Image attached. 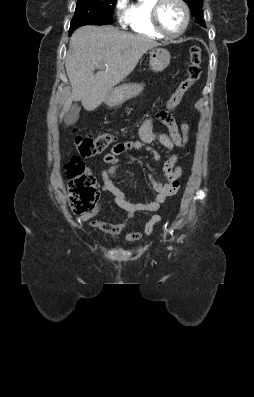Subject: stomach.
<instances>
[{
    "label": "stomach",
    "mask_w": 254,
    "mask_h": 397,
    "mask_svg": "<svg viewBox=\"0 0 254 397\" xmlns=\"http://www.w3.org/2000/svg\"><path fill=\"white\" fill-rule=\"evenodd\" d=\"M171 55L164 48H155L150 51V68L154 72L163 71L170 63ZM144 88L142 83H127L109 91L105 103L116 106L138 96Z\"/></svg>",
    "instance_id": "1"
}]
</instances>
